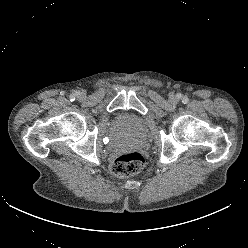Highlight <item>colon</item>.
Listing matches in <instances>:
<instances>
[{
  "label": "colon",
  "instance_id": "5ec220e1",
  "mask_svg": "<svg viewBox=\"0 0 248 248\" xmlns=\"http://www.w3.org/2000/svg\"><path fill=\"white\" fill-rule=\"evenodd\" d=\"M145 165L144 157L137 152L123 154L111 164V173L117 177H129L142 171Z\"/></svg>",
  "mask_w": 248,
  "mask_h": 248
}]
</instances>
